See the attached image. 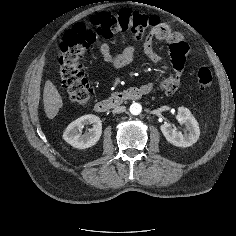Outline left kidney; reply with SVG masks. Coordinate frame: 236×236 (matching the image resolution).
I'll return each mask as SVG.
<instances>
[{"label":"left kidney","mask_w":236,"mask_h":236,"mask_svg":"<svg viewBox=\"0 0 236 236\" xmlns=\"http://www.w3.org/2000/svg\"><path fill=\"white\" fill-rule=\"evenodd\" d=\"M177 120L181 124H185L188 133L182 134L174 129L170 122H166L160 126V129L166 140L177 147H189L197 142L200 129L198 122L191 114L190 110L185 107L178 108Z\"/></svg>","instance_id":"1"}]
</instances>
